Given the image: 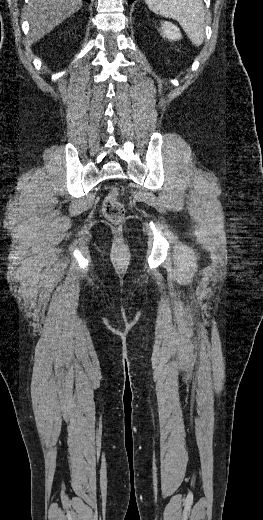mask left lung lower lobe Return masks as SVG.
<instances>
[{
  "label": "left lung lower lobe",
  "instance_id": "obj_1",
  "mask_svg": "<svg viewBox=\"0 0 263 520\" xmlns=\"http://www.w3.org/2000/svg\"><path fill=\"white\" fill-rule=\"evenodd\" d=\"M133 1H134V0H128V3H131V2H133Z\"/></svg>",
  "mask_w": 263,
  "mask_h": 520
}]
</instances>
